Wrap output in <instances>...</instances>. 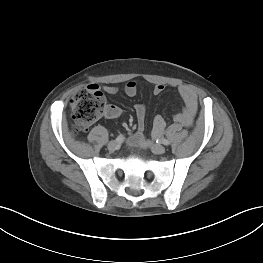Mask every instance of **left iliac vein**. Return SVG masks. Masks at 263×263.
I'll list each match as a JSON object with an SVG mask.
<instances>
[{
    "label": "left iliac vein",
    "instance_id": "obj_1",
    "mask_svg": "<svg viewBox=\"0 0 263 263\" xmlns=\"http://www.w3.org/2000/svg\"><path fill=\"white\" fill-rule=\"evenodd\" d=\"M151 150L155 154H163L165 153V147L160 144H151Z\"/></svg>",
    "mask_w": 263,
    "mask_h": 263
}]
</instances>
